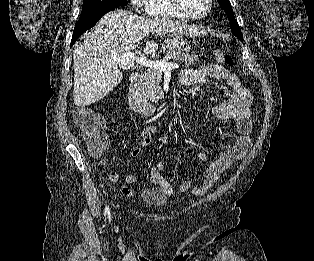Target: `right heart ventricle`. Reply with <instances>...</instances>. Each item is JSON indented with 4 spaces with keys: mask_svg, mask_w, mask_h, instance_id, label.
I'll return each instance as SVG.
<instances>
[{
    "mask_svg": "<svg viewBox=\"0 0 314 261\" xmlns=\"http://www.w3.org/2000/svg\"><path fill=\"white\" fill-rule=\"evenodd\" d=\"M148 13L155 17L185 19L171 4L170 0H151Z\"/></svg>",
    "mask_w": 314,
    "mask_h": 261,
    "instance_id": "obj_1",
    "label": "right heart ventricle"
}]
</instances>
